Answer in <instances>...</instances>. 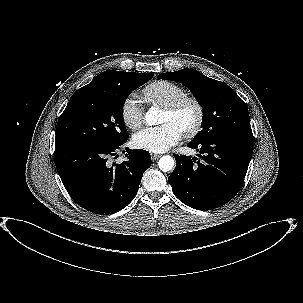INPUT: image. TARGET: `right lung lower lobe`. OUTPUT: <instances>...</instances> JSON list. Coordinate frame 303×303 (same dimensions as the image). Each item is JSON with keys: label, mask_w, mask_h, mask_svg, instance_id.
<instances>
[{"label": "right lung lower lobe", "mask_w": 303, "mask_h": 303, "mask_svg": "<svg viewBox=\"0 0 303 303\" xmlns=\"http://www.w3.org/2000/svg\"><path fill=\"white\" fill-rule=\"evenodd\" d=\"M126 141L106 146H55L57 171L78 205L91 212L109 214L123 209L134 198L143 173L151 165V157L146 150L125 148L127 160L112 164L111 158Z\"/></svg>", "instance_id": "1"}]
</instances>
